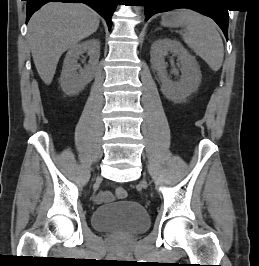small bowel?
Segmentation results:
<instances>
[{
  "instance_id": "c3829d8e",
  "label": "small bowel",
  "mask_w": 259,
  "mask_h": 266,
  "mask_svg": "<svg viewBox=\"0 0 259 266\" xmlns=\"http://www.w3.org/2000/svg\"><path fill=\"white\" fill-rule=\"evenodd\" d=\"M113 199H114V196L109 191H101V192L97 193L95 196V201L98 204L111 202Z\"/></svg>"
}]
</instances>
